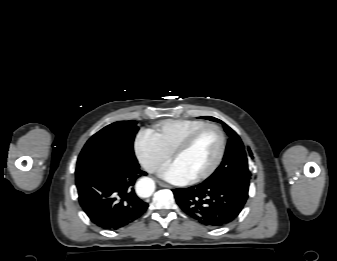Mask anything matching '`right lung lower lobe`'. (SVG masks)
Returning <instances> with one entry per match:
<instances>
[{
	"label": "right lung lower lobe",
	"instance_id": "obj_1",
	"mask_svg": "<svg viewBox=\"0 0 337 261\" xmlns=\"http://www.w3.org/2000/svg\"><path fill=\"white\" fill-rule=\"evenodd\" d=\"M146 174L138 163L123 158L104 160L76 175L79 203L97 226L106 230L125 227L148 207L134 191L136 180Z\"/></svg>",
	"mask_w": 337,
	"mask_h": 261
}]
</instances>
